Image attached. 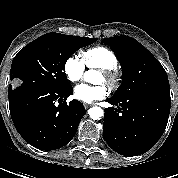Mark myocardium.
Instances as JSON below:
<instances>
[{"instance_id": "obj_1", "label": "myocardium", "mask_w": 178, "mask_h": 178, "mask_svg": "<svg viewBox=\"0 0 178 178\" xmlns=\"http://www.w3.org/2000/svg\"><path fill=\"white\" fill-rule=\"evenodd\" d=\"M100 72L104 75V83L111 89H115L118 84V75L111 68H100Z\"/></svg>"}]
</instances>
